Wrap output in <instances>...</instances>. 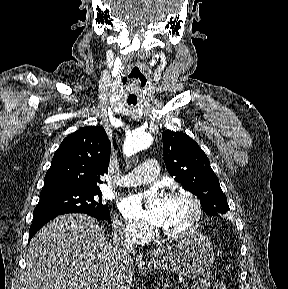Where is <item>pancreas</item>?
I'll return each mask as SVG.
<instances>
[{"label":"pancreas","mask_w":288,"mask_h":289,"mask_svg":"<svg viewBox=\"0 0 288 289\" xmlns=\"http://www.w3.org/2000/svg\"><path fill=\"white\" fill-rule=\"evenodd\" d=\"M211 273L208 272L199 281L191 286V289H207L210 286Z\"/></svg>","instance_id":"pancreas-1"}]
</instances>
